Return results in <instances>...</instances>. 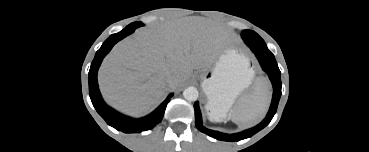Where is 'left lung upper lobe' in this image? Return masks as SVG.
<instances>
[{"mask_svg": "<svg viewBox=\"0 0 369 152\" xmlns=\"http://www.w3.org/2000/svg\"><path fill=\"white\" fill-rule=\"evenodd\" d=\"M241 37L249 47L251 44L260 45L263 48L264 52L271 53L268 50L264 40L256 32L252 30H243L241 33Z\"/></svg>", "mask_w": 369, "mask_h": 152, "instance_id": "left-lung-upper-lobe-1", "label": "left lung upper lobe"}]
</instances>
